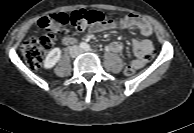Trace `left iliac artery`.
<instances>
[{
  "label": "left iliac artery",
  "mask_w": 194,
  "mask_h": 133,
  "mask_svg": "<svg viewBox=\"0 0 194 133\" xmlns=\"http://www.w3.org/2000/svg\"><path fill=\"white\" fill-rule=\"evenodd\" d=\"M85 50H87V51L91 50V49H90V46L88 45L87 48H86Z\"/></svg>",
  "instance_id": "left-iliac-artery-1"
}]
</instances>
